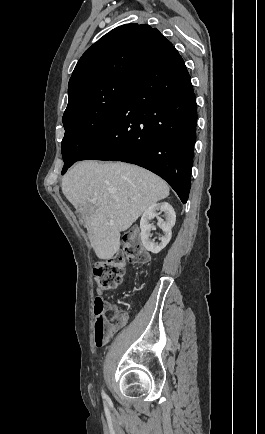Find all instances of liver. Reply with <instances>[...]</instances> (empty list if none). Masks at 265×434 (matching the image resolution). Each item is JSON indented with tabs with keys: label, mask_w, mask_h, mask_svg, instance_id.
I'll return each instance as SVG.
<instances>
[{
	"label": "liver",
	"mask_w": 265,
	"mask_h": 434,
	"mask_svg": "<svg viewBox=\"0 0 265 434\" xmlns=\"http://www.w3.org/2000/svg\"><path fill=\"white\" fill-rule=\"evenodd\" d=\"M61 188L81 214L100 260H111L120 248V232L128 230L149 206L169 196L164 180L123 162H79L65 174Z\"/></svg>",
	"instance_id": "liver-1"
}]
</instances>
